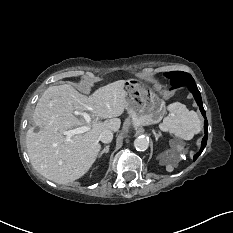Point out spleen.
<instances>
[{
	"instance_id": "obj_1",
	"label": "spleen",
	"mask_w": 233,
	"mask_h": 233,
	"mask_svg": "<svg viewBox=\"0 0 233 233\" xmlns=\"http://www.w3.org/2000/svg\"><path fill=\"white\" fill-rule=\"evenodd\" d=\"M167 109L170 115L160 124L162 131L170 132L183 140H190L194 134L200 132L201 121L195 111H189L186 105L179 102L169 104Z\"/></svg>"
}]
</instances>
